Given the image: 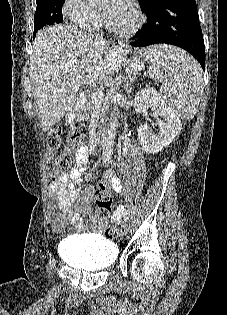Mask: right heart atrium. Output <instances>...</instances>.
Here are the masks:
<instances>
[{"label": "right heart atrium", "instance_id": "1", "mask_svg": "<svg viewBox=\"0 0 227 315\" xmlns=\"http://www.w3.org/2000/svg\"><path fill=\"white\" fill-rule=\"evenodd\" d=\"M62 14L67 22L81 29H94L101 22V14L86 0H64Z\"/></svg>", "mask_w": 227, "mask_h": 315}]
</instances>
